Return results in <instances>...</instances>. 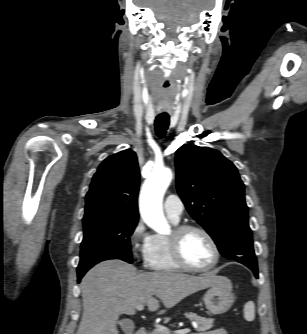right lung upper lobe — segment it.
<instances>
[{"mask_svg": "<svg viewBox=\"0 0 307 334\" xmlns=\"http://www.w3.org/2000/svg\"><path fill=\"white\" fill-rule=\"evenodd\" d=\"M139 179L137 157L132 150L107 157L98 167L86 194L83 219L105 217L138 221Z\"/></svg>", "mask_w": 307, "mask_h": 334, "instance_id": "obj_1", "label": "right lung upper lobe"}]
</instances>
